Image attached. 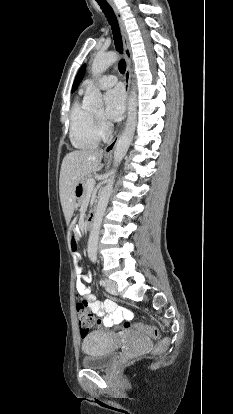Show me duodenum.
<instances>
[{
	"label": "duodenum",
	"instance_id": "410a0bca",
	"mask_svg": "<svg viewBox=\"0 0 233 414\" xmlns=\"http://www.w3.org/2000/svg\"><path fill=\"white\" fill-rule=\"evenodd\" d=\"M95 217H96V212L94 210L90 211L89 214L87 215V219L85 222V228L87 230H90L93 227Z\"/></svg>",
	"mask_w": 233,
	"mask_h": 414
}]
</instances>
